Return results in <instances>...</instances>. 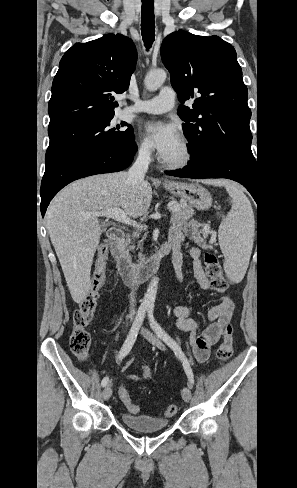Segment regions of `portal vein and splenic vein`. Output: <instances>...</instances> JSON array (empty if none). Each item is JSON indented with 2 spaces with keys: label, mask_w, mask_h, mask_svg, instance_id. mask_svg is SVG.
Returning a JSON list of instances; mask_svg holds the SVG:
<instances>
[{
  "label": "portal vein and splenic vein",
  "mask_w": 297,
  "mask_h": 488,
  "mask_svg": "<svg viewBox=\"0 0 297 488\" xmlns=\"http://www.w3.org/2000/svg\"><path fill=\"white\" fill-rule=\"evenodd\" d=\"M168 209L170 211H173L176 209V205L169 203ZM92 216H96V217L105 216V217L113 218L118 222L133 225V227H136L138 229H143V228L146 229V227H147L146 225L137 224L136 221L131 220L121 208H112V209H108V210H102V211L94 212V213H92Z\"/></svg>",
  "instance_id": "18ae733b"
}]
</instances>
